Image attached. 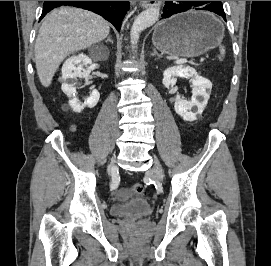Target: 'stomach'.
<instances>
[{"mask_svg": "<svg viewBox=\"0 0 271 266\" xmlns=\"http://www.w3.org/2000/svg\"><path fill=\"white\" fill-rule=\"evenodd\" d=\"M223 34V26L214 15L189 11L159 22L152 42L162 53L196 57L217 46Z\"/></svg>", "mask_w": 271, "mask_h": 266, "instance_id": "obj_1", "label": "stomach"}]
</instances>
